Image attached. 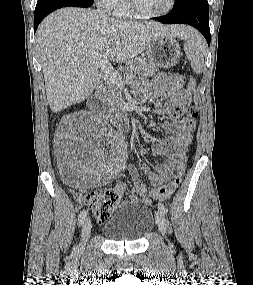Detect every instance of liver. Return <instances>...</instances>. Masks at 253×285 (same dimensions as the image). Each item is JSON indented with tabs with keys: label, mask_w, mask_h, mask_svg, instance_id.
<instances>
[{
	"label": "liver",
	"mask_w": 253,
	"mask_h": 285,
	"mask_svg": "<svg viewBox=\"0 0 253 285\" xmlns=\"http://www.w3.org/2000/svg\"><path fill=\"white\" fill-rule=\"evenodd\" d=\"M190 31L181 25L118 21L99 9L66 7L51 13L36 32L50 109L57 113L93 92L101 77L96 55L124 62L160 37L184 39Z\"/></svg>",
	"instance_id": "1"
}]
</instances>
